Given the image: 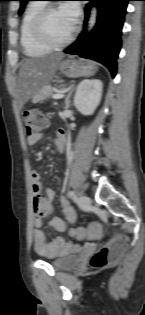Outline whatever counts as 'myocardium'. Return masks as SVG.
<instances>
[{"label":"myocardium","mask_w":145,"mask_h":315,"mask_svg":"<svg viewBox=\"0 0 145 315\" xmlns=\"http://www.w3.org/2000/svg\"><path fill=\"white\" fill-rule=\"evenodd\" d=\"M59 9L53 4L44 6L35 16L32 23V33L35 40L48 49H59L68 45L74 38L76 28L73 27L71 33L62 41L55 42L51 40L45 30V21L47 16L54 10Z\"/></svg>","instance_id":"1"}]
</instances>
